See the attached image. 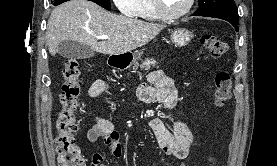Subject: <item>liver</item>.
<instances>
[{
	"label": "liver",
	"instance_id": "obj_1",
	"mask_svg": "<svg viewBox=\"0 0 277 166\" xmlns=\"http://www.w3.org/2000/svg\"><path fill=\"white\" fill-rule=\"evenodd\" d=\"M166 26L113 14L88 0H70L53 9L47 24L49 53L71 40L105 55H119L142 47ZM109 36L98 42L97 36Z\"/></svg>",
	"mask_w": 277,
	"mask_h": 166
}]
</instances>
